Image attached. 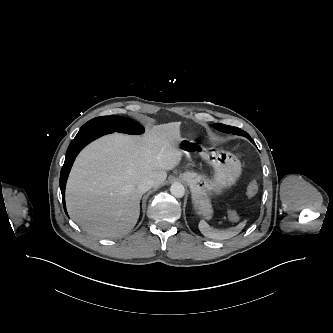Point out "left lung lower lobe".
I'll use <instances>...</instances> for the list:
<instances>
[{
	"label": "left lung lower lobe",
	"instance_id": "left-lung-lower-lobe-1",
	"mask_svg": "<svg viewBox=\"0 0 333 333\" xmlns=\"http://www.w3.org/2000/svg\"><path fill=\"white\" fill-rule=\"evenodd\" d=\"M246 138H248L253 144H255L249 135H246Z\"/></svg>",
	"mask_w": 333,
	"mask_h": 333
}]
</instances>
